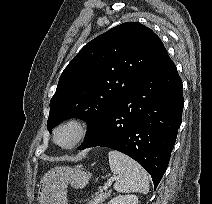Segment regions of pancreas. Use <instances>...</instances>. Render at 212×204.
Returning a JSON list of instances; mask_svg holds the SVG:
<instances>
[{
    "mask_svg": "<svg viewBox=\"0 0 212 204\" xmlns=\"http://www.w3.org/2000/svg\"><path fill=\"white\" fill-rule=\"evenodd\" d=\"M111 195V190L106 192L100 191L96 193L88 204H103V202Z\"/></svg>",
    "mask_w": 212,
    "mask_h": 204,
    "instance_id": "obj_1",
    "label": "pancreas"
}]
</instances>
